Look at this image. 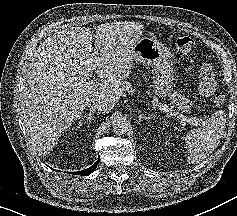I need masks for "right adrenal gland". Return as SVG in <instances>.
Listing matches in <instances>:
<instances>
[{"mask_svg":"<svg viewBox=\"0 0 237 216\" xmlns=\"http://www.w3.org/2000/svg\"><path fill=\"white\" fill-rule=\"evenodd\" d=\"M94 112L95 110L93 109L92 112L88 113L86 116H83L82 121H89Z\"/></svg>","mask_w":237,"mask_h":216,"instance_id":"1","label":"right adrenal gland"}]
</instances>
